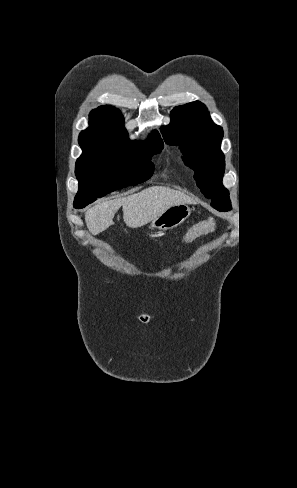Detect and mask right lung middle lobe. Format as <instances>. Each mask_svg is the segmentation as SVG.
<instances>
[{
  "label": "right lung middle lobe",
  "mask_w": 297,
  "mask_h": 488,
  "mask_svg": "<svg viewBox=\"0 0 297 488\" xmlns=\"http://www.w3.org/2000/svg\"><path fill=\"white\" fill-rule=\"evenodd\" d=\"M162 149V139L154 135H149L144 143L119 137L82 148L75 168L79 190L74 208H83L112 191L148 180L154 169L152 155Z\"/></svg>",
  "instance_id": "dd1d6c3e"
}]
</instances>
